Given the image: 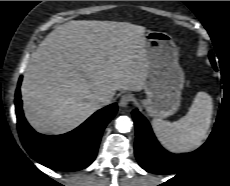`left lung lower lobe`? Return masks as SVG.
I'll list each match as a JSON object with an SVG mask.
<instances>
[{"label":"left lung lower lobe","instance_id":"left-lung-lower-lobe-1","mask_svg":"<svg viewBox=\"0 0 230 186\" xmlns=\"http://www.w3.org/2000/svg\"><path fill=\"white\" fill-rule=\"evenodd\" d=\"M136 127L135 155L140 166L150 173L172 174L190 164L203 151L207 142L199 149L186 154H173L162 148L156 140L150 124L138 110L132 112Z\"/></svg>","mask_w":230,"mask_h":186}]
</instances>
